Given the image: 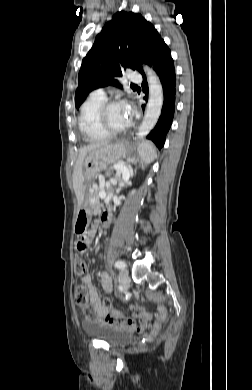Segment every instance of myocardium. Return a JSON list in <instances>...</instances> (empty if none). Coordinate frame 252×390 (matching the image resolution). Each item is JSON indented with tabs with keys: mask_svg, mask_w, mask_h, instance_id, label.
<instances>
[{
	"mask_svg": "<svg viewBox=\"0 0 252 390\" xmlns=\"http://www.w3.org/2000/svg\"><path fill=\"white\" fill-rule=\"evenodd\" d=\"M121 103L120 101H117V100H108V101H105L99 108L98 110V113H97V121H98V125L99 127L101 128V130L108 134L109 136H116V135H121V134H124L126 133L130 128H131V123L123 128V129H120V130H116V129H113L108 121H107V111L108 109L113 106V105H116V104H119Z\"/></svg>",
	"mask_w": 252,
	"mask_h": 390,
	"instance_id": "1",
	"label": "myocardium"
}]
</instances>
